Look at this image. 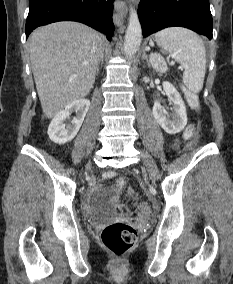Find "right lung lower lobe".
<instances>
[{
  "label": "right lung lower lobe",
  "mask_w": 233,
  "mask_h": 284,
  "mask_svg": "<svg viewBox=\"0 0 233 284\" xmlns=\"http://www.w3.org/2000/svg\"><path fill=\"white\" fill-rule=\"evenodd\" d=\"M114 0H29L26 37L35 28L57 21L71 20L84 23L112 38Z\"/></svg>",
  "instance_id": "right-lung-lower-lobe-1"
}]
</instances>
